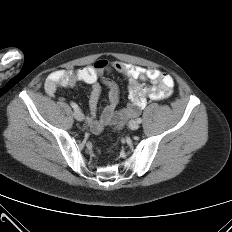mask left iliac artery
Wrapping results in <instances>:
<instances>
[{"mask_svg":"<svg viewBox=\"0 0 232 232\" xmlns=\"http://www.w3.org/2000/svg\"><path fill=\"white\" fill-rule=\"evenodd\" d=\"M137 122H138V123H141V122H142V119H141V118H138V119H137Z\"/></svg>","mask_w":232,"mask_h":232,"instance_id":"44dca946","label":"left iliac artery"}]
</instances>
